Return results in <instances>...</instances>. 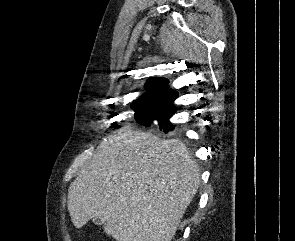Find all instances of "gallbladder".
<instances>
[{
  "instance_id": "bac80fb5",
  "label": "gallbladder",
  "mask_w": 295,
  "mask_h": 241,
  "mask_svg": "<svg viewBox=\"0 0 295 241\" xmlns=\"http://www.w3.org/2000/svg\"><path fill=\"white\" fill-rule=\"evenodd\" d=\"M93 222H94V224H96V225H101V224H102V221H101V219H99V218H93Z\"/></svg>"
}]
</instances>
